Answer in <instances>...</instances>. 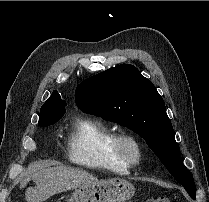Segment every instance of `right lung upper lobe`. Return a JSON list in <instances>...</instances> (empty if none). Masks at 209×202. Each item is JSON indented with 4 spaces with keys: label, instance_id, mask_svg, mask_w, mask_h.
I'll return each mask as SVG.
<instances>
[{
    "label": "right lung upper lobe",
    "instance_id": "obj_1",
    "mask_svg": "<svg viewBox=\"0 0 209 202\" xmlns=\"http://www.w3.org/2000/svg\"><path fill=\"white\" fill-rule=\"evenodd\" d=\"M66 102L61 99L59 93L57 91H53L51 97L44 103L41 107L42 111H46L54 108H65ZM49 122L46 119L39 118V126H43L48 124Z\"/></svg>",
    "mask_w": 209,
    "mask_h": 202
}]
</instances>
